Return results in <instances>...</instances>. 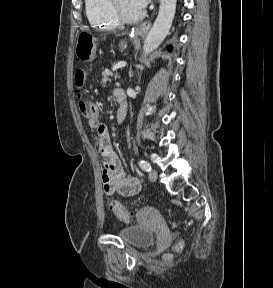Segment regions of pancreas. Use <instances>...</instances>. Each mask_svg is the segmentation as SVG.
I'll use <instances>...</instances> for the list:
<instances>
[{"label":"pancreas","instance_id":"1","mask_svg":"<svg viewBox=\"0 0 273 288\" xmlns=\"http://www.w3.org/2000/svg\"><path fill=\"white\" fill-rule=\"evenodd\" d=\"M110 76H113V73L106 69L102 72V81L101 83L105 86L107 82H111L112 80L110 79ZM115 78H117V73L115 75Z\"/></svg>","mask_w":273,"mask_h":288}]
</instances>
